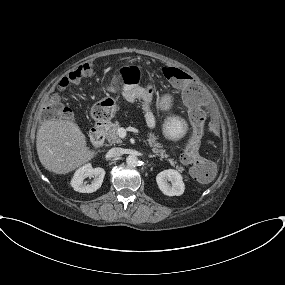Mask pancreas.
Masks as SVG:
<instances>
[{
  "instance_id": "obj_1",
  "label": "pancreas",
  "mask_w": 285,
  "mask_h": 285,
  "mask_svg": "<svg viewBox=\"0 0 285 285\" xmlns=\"http://www.w3.org/2000/svg\"><path fill=\"white\" fill-rule=\"evenodd\" d=\"M119 128L120 125L118 122L110 123L106 126L105 137L110 144H116L122 142L121 138L118 135ZM147 137H148L147 141L149 143V146L152 147V152L155 154V156L165 158L172 166H176V168L179 171L183 170L182 167L177 166V162L169 158V155H167L165 150L162 149V145L160 143H157L158 138L154 135V133L149 132Z\"/></svg>"
}]
</instances>
